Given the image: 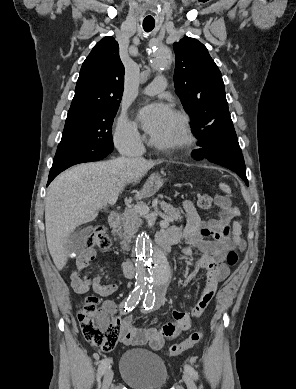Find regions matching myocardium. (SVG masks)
Wrapping results in <instances>:
<instances>
[{"label": "myocardium", "instance_id": "obj_1", "mask_svg": "<svg viewBox=\"0 0 296 389\" xmlns=\"http://www.w3.org/2000/svg\"><path fill=\"white\" fill-rule=\"evenodd\" d=\"M172 113L179 121V136L175 140L168 142H162L156 140L155 138H151V144L162 150H179L188 146L193 141V134L188 116L179 110H174Z\"/></svg>", "mask_w": 296, "mask_h": 389}]
</instances>
